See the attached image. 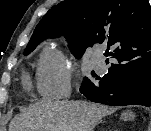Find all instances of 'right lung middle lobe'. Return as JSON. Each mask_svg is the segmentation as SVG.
Wrapping results in <instances>:
<instances>
[{"label": "right lung middle lobe", "mask_w": 151, "mask_h": 131, "mask_svg": "<svg viewBox=\"0 0 151 131\" xmlns=\"http://www.w3.org/2000/svg\"><path fill=\"white\" fill-rule=\"evenodd\" d=\"M36 45L37 44H30V45H28L27 48H26V50H25V54H29L30 52H32L35 49ZM70 50L75 55V57L79 58V57L82 56V53H78V52L74 51L71 48H70Z\"/></svg>", "instance_id": "obj_1"}]
</instances>
